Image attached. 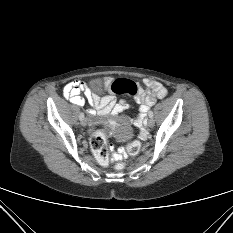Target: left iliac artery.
<instances>
[{"mask_svg": "<svg viewBox=\"0 0 233 233\" xmlns=\"http://www.w3.org/2000/svg\"><path fill=\"white\" fill-rule=\"evenodd\" d=\"M148 115H149V117H153V112L150 110L149 112H148Z\"/></svg>", "mask_w": 233, "mask_h": 233, "instance_id": "obj_1", "label": "left iliac artery"}]
</instances>
